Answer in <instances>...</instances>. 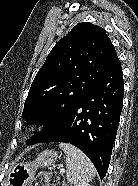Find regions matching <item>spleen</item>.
Segmentation results:
<instances>
[{
	"label": "spleen",
	"mask_w": 138,
	"mask_h": 186,
	"mask_svg": "<svg viewBox=\"0 0 138 186\" xmlns=\"http://www.w3.org/2000/svg\"><path fill=\"white\" fill-rule=\"evenodd\" d=\"M59 147L66 154V177L70 184L87 183L96 175V169L88 157L69 143H60Z\"/></svg>",
	"instance_id": "1"
}]
</instances>
